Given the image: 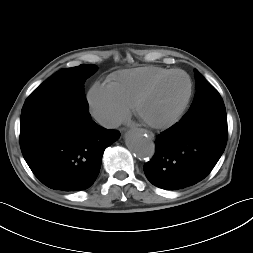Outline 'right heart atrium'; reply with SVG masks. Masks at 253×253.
Returning a JSON list of instances; mask_svg holds the SVG:
<instances>
[{
    "label": "right heart atrium",
    "mask_w": 253,
    "mask_h": 253,
    "mask_svg": "<svg viewBox=\"0 0 253 253\" xmlns=\"http://www.w3.org/2000/svg\"><path fill=\"white\" fill-rule=\"evenodd\" d=\"M87 100L92 115L105 126H116L129 114V107L109 84L94 83L88 92Z\"/></svg>",
    "instance_id": "obj_1"
}]
</instances>
